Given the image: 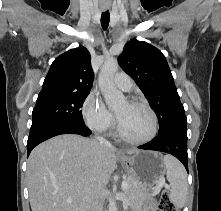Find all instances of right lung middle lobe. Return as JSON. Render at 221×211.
<instances>
[{
  "instance_id": "1",
  "label": "right lung middle lobe",
  "mask_w": 221,
  "mask_h": 211,
  "mask_svg": "<svg viewBox=\"0 0 221 211\" xmlns=\"http://www.w3.org/2000/svg\"><path fill=\"white\" fill-rule=\"evenodd\" d=\"M90 92H40L32 112L33 130L51 123L85 125L81 107Z\"/></svg>"
}]
</instances>
